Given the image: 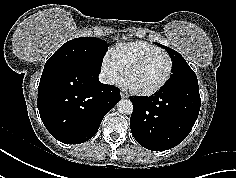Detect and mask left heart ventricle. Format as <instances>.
I'll return each instance as SVG.
<instances>
[{
	"instance_id": "b2bd125f",
	"label": "left heart ventricle",
	"mask_w": 236,
	"mask_h": 178,
	"mask_svg": "<svg viewBox=\"0 0 236 178\" xmlns=\"http://www.w3.org/2000/svg\"><path fill=\"white\" fill-rule=\"evenodd\" d=\"M169 61L166 56L158 55L150 58L133 70L127 77V83L139 90H147L158 85L166 76Z\"/></svg>"
}]
</instances>
